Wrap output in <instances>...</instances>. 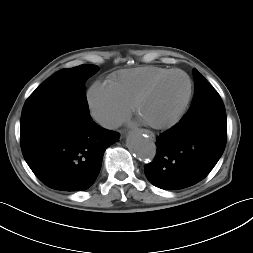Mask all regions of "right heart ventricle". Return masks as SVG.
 <instances>
[{"instance_id": "1", "label": "right heart ventricle", "mask_w": 253, "mask_h": 253, "mask_svg": "<svg viewBox=\"0 0 253 253\" xmlns=\"http://www.w3.org/2000/svg\"><path fill=\"white\" fill-rule=\"evenodd\" d=\"M170 69L158 66H141L122 70L109 79V85L122 101L132 107L137 95L155 78Z\"/></svg>"}]
</instances>
